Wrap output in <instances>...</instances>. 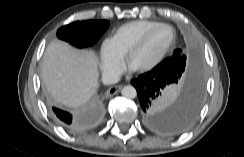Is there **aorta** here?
<instances>
[{
  "label": "aorta",
  "instance_id": "762f6f07",
  "mask_svg": "<svg viewBox=\"0 0 244 157\" xmlns=\"http://www.w3.org/2000/svg\"><path fill=\"white\" fill-rule=\"evenodd\" d=\"M121 94L122 96H124L125 98H128V99H133L136 97L137 95V92H136V89L131 86V85H127V86H124L121 90Z\"/></svg>",
  "mask_w": 244,
  "mask_h": 157
}]
</instances>
